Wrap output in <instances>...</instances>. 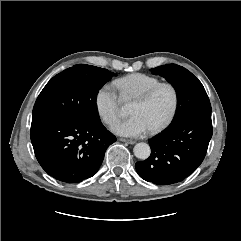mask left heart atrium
Returning <instances> with one entry per match:
<instances>
[{
    "instance_id": "39dd6f15",
    "label": "left heart atrium",
    "mask_w": 241,
    "mask_h": 241,
    "mask_svg": "<svg viewBox=\"0 0 241 241\" xmlns=\"http://www.w3.org/2000/svg\"><path fill=\"white\" fill-rule=\"evenodd\" d=\"M112 130L122 136L138 137L146 134L150 127L140 115H132L127 119L116 122Z\"/></svg>"
}]
</instances>
